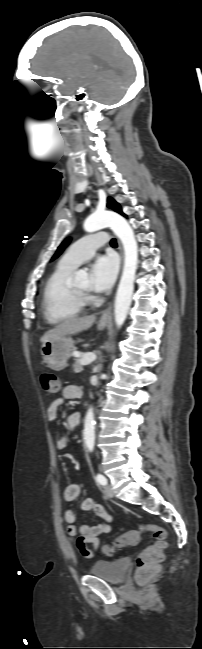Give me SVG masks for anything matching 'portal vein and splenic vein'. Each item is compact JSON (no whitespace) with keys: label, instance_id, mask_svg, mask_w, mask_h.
Segmentation results:
<instances>
[{"label":"portal vein and splenic vein","instance_id":"obj_1","mask_svg":"<svg viewBox=\"0 0 202 649\" xmlns=\"http://www.w3.org/2000/svg\"><path fill=\"white\" fill-rule=\"evenodd\" d=\"M95 360H96V355L92 353H88L81 358V364L89 365L93 363Z\"/></svg>","mask_w":202,"mask_h":649}]
</instances>
